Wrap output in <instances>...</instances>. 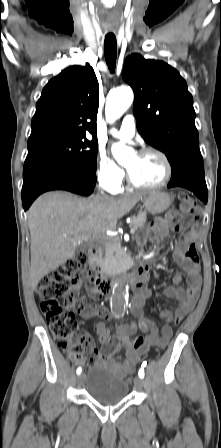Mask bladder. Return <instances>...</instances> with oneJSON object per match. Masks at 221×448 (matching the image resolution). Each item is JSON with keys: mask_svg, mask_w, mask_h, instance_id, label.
<instances>
[{"mask_svg": "<svg viewBox=\"0 0 221 448\" xmlns=\"http://www.w3.org/2000/svg\"><path fill=\"white\" fill-rule=\"evenodd\" d=\"M82 384L90 398L102 405L121 402L129 394V382L101 366H95L84 374Z\"/></svg>", "mask_w": 221, "mask_h": 448, "instance_id": "obj_1", "label": "bladder"}]
</instances>
